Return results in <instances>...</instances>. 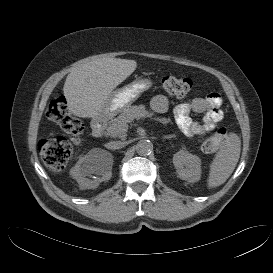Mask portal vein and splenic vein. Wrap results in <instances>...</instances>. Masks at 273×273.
Returning a JSON list of instances; mask_svg holds the SVG:
<instances>
[{
    "label": "portal vein and splenic vein",
    "instance_id": "18ae733b",
    "mask_svg": "<svg viewBox=\"0 0 273 273\" xmlns=\"http://www.w3.org/2000/svg\"><path fill=\"white\" fill-rule=\"evenodd\" d=\"M127 130H128V127H126V126H123L122 128H120V132H122V133H125V132H127Z\"/></svg>",
    "mask_w": 273,
    "mask_h": 273
}]
</instances>
